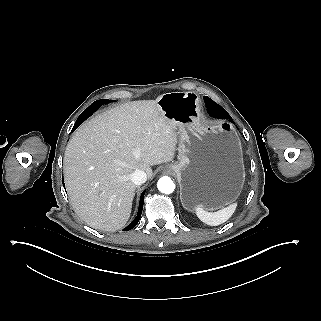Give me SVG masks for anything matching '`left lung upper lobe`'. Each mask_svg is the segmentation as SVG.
<instances>
[{"label":"left lung upper lobe","instance_id":"1","mask_svg":"<svg viewBox=\"0 0 321 321\" xmlns=\"http://www.w3.org/2000/svg\"><path fill=\"white\" fill-rule=\"evenodd\" d=\"M204 101H205L206 104H210V105H213V106L216 105V103L213 100H211L210 98H208L206 96H204Z\"/></svg>","mask_w":321,"mask_h":321}]
</instances>
